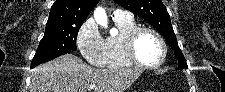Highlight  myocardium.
Returning a JSON list of instances; mask_svg holds the SVG:
<instances>
[{"instance_id": "myocardium-1", "label": "myocardium", "mask_w": 225, "mask_h": 92, "mask_svg": "<svg viewBox=\"0 0 225 92\" xmlns=\"http://www.w3.org/2000/svg\"><path fill=\"white\" fill-rule=\"evenodd\" d=\"M144 32H148V33H151L152 35H154L157 38V40L159 41L161 48H162L161 59L154 64H146V63L142 62L136 53V41H137L138 37ZM123 49H124V53H125V56L128 59V61L134 67H138V68H143V69L158 68L163 65V63L165 62V60L167 58V45H166L164 38L160 35L159 32H157L155 29L150 28V27L140 26V27H136L133 30H131L124 39Z\"/></svg>"}]
</instances>
